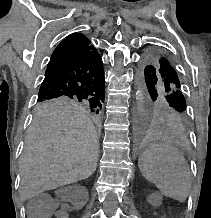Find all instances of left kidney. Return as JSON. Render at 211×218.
Listing matches in <instances>:
<instances>
[{
    "instance_id": "left-kidney-1",
    "label": "left kidney",
    "mask_w": 211,
    "mask_h": 218,
    "mask_svg": "<svg viewBox=\"0 0 211 218\" xmlns=\"http://www.w3.org/2000/svg\"><path fill=\"white\" fill-rule=\"evenodd\" d=\"M149 202H151V196H149Z\"/></svg>"
}]
</instances>
